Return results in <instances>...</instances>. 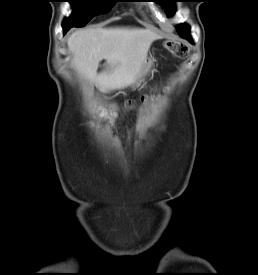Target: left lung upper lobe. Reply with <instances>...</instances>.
<instances>
[{"mask_svg":"<svg viewBox=\"0 0 258 275\" xmlns=\"http://www.w3.org/2000/svg\"><path fill=\"white\" fill-rule=\"evenodd\" d=\"M174 2H176V0H159V3L164 8H166V12L168 16H171L174 13V5H173ZM176 29L180 36L190 33V30L186 25H178L176 26Z\"/></svg>","mask_w":258,"mask_h":275,"instance_id":"left-lung-upper-lobe-1","label":"left lung upper lobe"}]
</instances>
